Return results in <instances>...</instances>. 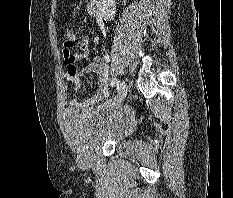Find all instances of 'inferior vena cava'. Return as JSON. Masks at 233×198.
Listing matches in <instances>:
<instances>
[{
    "instance_id": "602c4592",
    "label": "inferior vena cava",
    "mask_w": 233,
    "mask_h": 198,
    "mask_svg": "<svg viewBox=\"0 0 233 198\" xmlns=\"http://www.w3.org/2000/svg\"><path fill=\"white\" fill-rule=\"evenodd\" d=\"M115 10V0H101V13L105 20H112Z\"/></svg>"
}]
</instances>
